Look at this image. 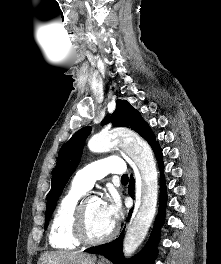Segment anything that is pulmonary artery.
<instances>
[{
  "label": "pulmonary artery",
  "mask_w": 221,
  "mask_h": 264,
  "mask_svg": "<svg viewBox=\"0 0 221 264\" xmlns=\"http://www.w3.org/2000/svg\"><path fill=\"white\" fill-rule=\"evenodd\" d=\"M124 163L119 157H107L94 161L78 170L73 178V182L85 190H89L94 183L108 175L109 173L123 174Z\"/></svg>",
  "instance_id": "obj_1"
}]
</instances>
